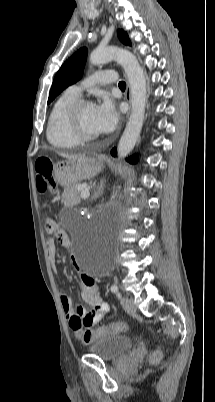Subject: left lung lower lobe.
Instances as JSON below:
<instances>
[{
	"label": "left lung lower lobe",
	"instance_id": "0a47b994",
	"mask_svg": "<svg viewBox=\"0 0 215 402\" xmlns=\"http://www.w3.org/2000/svg\"><path fill=\"white\" fill-rule=\"evenodd\" d=\"M111 154H112L113 156H116V148H113V149H112ZM128 161H129L130 163H133V164H134V163L137 162V157H136V156L130 157V158L128 159Z\"/></svg>",
	"mask_w": 215,
	"mask_h": 402
}]
</instances>
